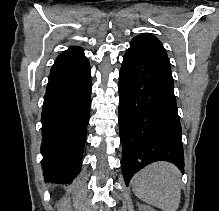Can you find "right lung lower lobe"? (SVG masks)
I'll list each match as a JSON object with an SVG mask.
<instances>
[{"mask_svg": "<svg viewBox=\"0 0 219 211\" xmlns=\"http://www.w3.org/2000/svg\"><path fill=\"white\" fill-rule=\"evenodd\" d=\"M90 65L85 56L56 59L42 112V167L46 181L69 184L78 175L91 104Z\"/></svg>", "mask_w": 219, "mask_h": 211, "instance_id": "1", "label": "right lung lower lobe"}]
</instances>
